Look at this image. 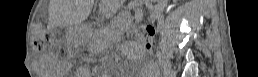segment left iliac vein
Wrapping results in <instances>:
<instances>
[{
	"instance_id": "1",
	"label": "left iliac vein",
	"mask_w": 258,
	"mask_h": 77,
	"mask_svg": "<svg viewBox=\"0 0 258 77\" xmlns=\"http://www.w3.org/2000/svg\"><path fill=\"white\" fill-rule=\"evenodd\" d=\"M175 75H176V72H175L174 70H169V71L167 72V76H168V77H175Z\"/></svg>"
}]
</instances>
